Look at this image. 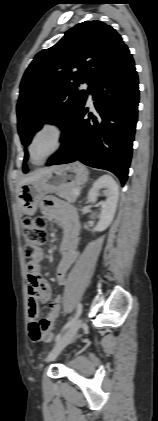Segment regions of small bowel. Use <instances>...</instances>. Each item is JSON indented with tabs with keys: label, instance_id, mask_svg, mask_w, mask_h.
Listing matches in <instances>:
<instances>
[{
	"label": "small bowel",
	"instance_id": "1",
	"mask_svg": "<svg viewBox=\"0 0 158 421\" xmlns=\"http://www.w3.org/2000/svg\"><path fill=\"white\" fill-rule=\"evenodd\" d=\"M41 210L47 218L57 223L63 232L60 245L61 258L55 273L57 282L63 284L68 269L75 262L79 254L80 223L78 214L73 207L61 202L55 197L45 198L42 202ZM42 259L43 251L40 250L37 258L29 261L27 264L29 331L33 340L34 331L52 334L61 308V298L57 296L49 303L48 314L41 320L38 319L40 303L47 302L51 297L50 284L42 277L40 272V262Z\"/></svg>",
	"mask_w": 158,
	"mask_h": 421
}]
</instances>
